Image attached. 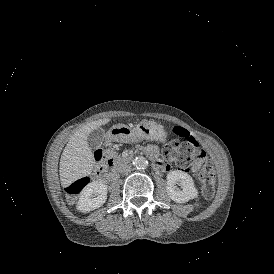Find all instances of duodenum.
<instances>
[{
    "label": "duodenum",
    "instance_id": "1",
    "mask_svg": "<svg viewBox=\"0 0 274 274\" xmlns=\"http://www.w3.org/2000/svg\"><path fill=\"white\" fill-rule=\"evenodd\" d=\"M95 159L99 166L105 170H108L111 175H115L117 172V164L113 162L106 154L101 151L95 153ZM154 167L159 171H168L169 166L165 165L163 162L157 159H153Z\"/></svg>",
    "mask_w": 274,
    "mask_h": 274
}]
</instances>
